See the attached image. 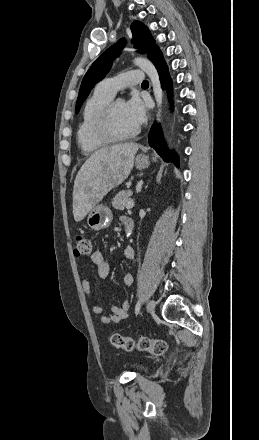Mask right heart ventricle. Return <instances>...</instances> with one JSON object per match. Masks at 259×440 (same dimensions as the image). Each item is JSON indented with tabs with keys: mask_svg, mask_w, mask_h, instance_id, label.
Instances as JSON below:
<instances>
[{
	"mask_svg": "<svg viewBox=\"0 0 259 440\" xmlns=\"http://www.w3.org/2000/svg\"><path fill=\"white\" fill-rule=\"evenodd\" d=\"M113 97L95 89L86 100L76 131L77 143L84 154H92L106 147L109 142L98 138L94 132L96 121L103 108Z\"/></svg>",
	"mask_w": 259,
	"mask_h": 440,
	"instance_id": "1",
	"label": "right heart ventricle"
}]
</instances>
